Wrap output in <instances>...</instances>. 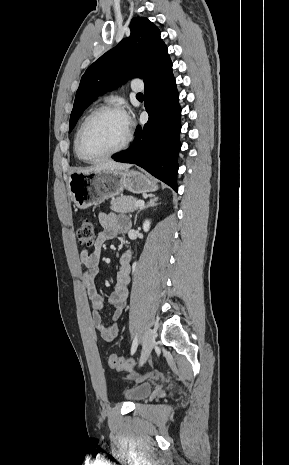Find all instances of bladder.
<instances>
[{
    "label": "bladder",
    "mask_w": 289,
    "mask_h": 465,
    "mask_svg": "<svg viewBox=\"0 0 289 465\" xmlns=\"http://www.w3.org/2000/svg\"><path fill=\"white\" fill-rule=\"evenodd\" d=\"M151 391H152V384L149 382H145V383L133 386L131 388H128L127 390L124 391V396L129 401L139 402L145 399L146 397H148Z\"/></svg>",
    "instance_id": "31cf9c89"
}]
</instances>
